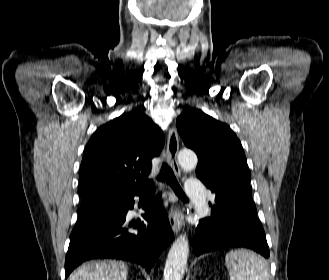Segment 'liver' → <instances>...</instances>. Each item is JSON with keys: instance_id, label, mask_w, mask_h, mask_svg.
I'll list each match as a JSON object with an SVG mask.
<instances>
[{"instance_id": "liver-1", "label": "liver", "mask_w": 329, "mask_h": 280, "mask_svg": "<svg viewBox=\"0 0 329 280\" xmlns=\"http://www.w3.org/2000/svg\"><path fill=\"white\" fill-rule=\"evenodd\" d=\"M128 267L115 260L91 262L77 269L68 280H126Z\"/></svg>"}]
</instances>
